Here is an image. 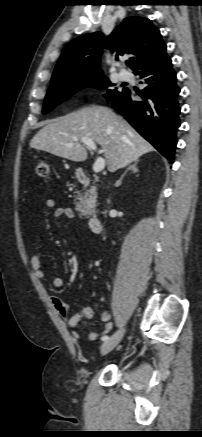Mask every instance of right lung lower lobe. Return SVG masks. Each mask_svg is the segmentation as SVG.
<instances>
[{
  "instance_id": "obj_1",
  "label": "right lung lower lobe",
  "mask_w": 202,
  "mask_h": 437,
  "mask_svg": "<svg viewBox=\"0 0 202 437\" xmlns=\"http://www.w3.org/2000/svg\"><path fill=\"white\" fill-rule=\"evenodd\" d=\"M143 79L141 100L125 88L107 99L124 118L171 163L180 122V89L168 55L134 72Z\"/></svg>"
}]
</instances>
